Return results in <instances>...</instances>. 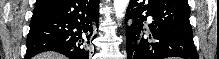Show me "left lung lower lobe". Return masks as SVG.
<instances>
[{
	"label": "left lung lower lobe",
	"mask_w": 219,
	"mask_h": 59,
	"mask_svg": "<svg viewBox=\"0 0 219 59\" xmlns=\"http://www.w3.org/2000/svg\"><path fill=\"white\" fill-rule=\"evenodd\" d=\"M187 0H130L127 59H198Z\"/></svg>",
	"instance_id": "obj_1"
}]
</instances>
